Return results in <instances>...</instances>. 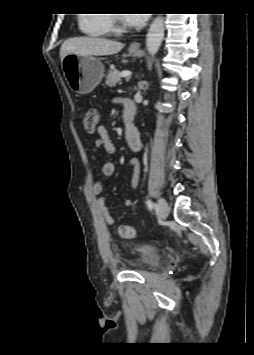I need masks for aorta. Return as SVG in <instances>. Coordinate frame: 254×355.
Wrapping results in <instances>:
<instances>
[{
    "label": "aorta",
    "instance_id": "1",
    "mask_svg": "<svg viewBox=\"0 0 254 355\" xmlns=\"http://www.w3.org/2000/svg\"><path fill=\"white\" fill-rule=\"evenodd\" d=\"M164 30V19L162 16H157L147 33L146 47L149 54L155 55L158 52L164 37Z\"/></svg>",
    "mask_w": 254,
    "mask_h": 355
}]
</instances>
